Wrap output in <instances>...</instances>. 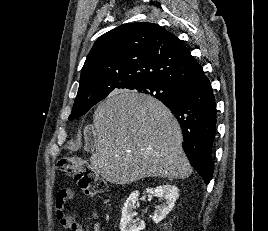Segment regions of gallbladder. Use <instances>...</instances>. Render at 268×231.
<instances>
[{
    "mask_svg": "<svg viewBox=\"0 0 268 231\" xmlns=\"http://www.w3.org/2000/svg\"><path fill=\"white\" fill-rule=\"evenodd\" d=\"M87 150L88 151H93L94 150V143L91 141L90 143L87 144Z\"/></svg>",
    "mask_w": 268,
    "mask_h": 231,
    "instance_id": "obj_1",
    "label": "gallbladder"
}]
</instances>
